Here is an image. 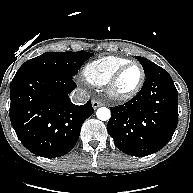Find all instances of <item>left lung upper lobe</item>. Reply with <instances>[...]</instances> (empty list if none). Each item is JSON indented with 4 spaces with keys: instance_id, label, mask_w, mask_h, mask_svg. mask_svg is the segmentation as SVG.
Segmentation results:
<instances>
[{
    "instance_id": "left-lung-upper-lobe-1",
    "label": "left lung upper lobe",
    "mask_w": 193,
    "mask_h": 193,
    "mask_svg": "<svg viewBox=\"0 0 193 193\" xmlns=\"http://www.w3.org/2000/svg\"><path fill=\"white\" fill-rule=\"evenodd\" d=\"M135 57L141 63L145 72V76L149 75L159 67L158 65H156L155 63L151 62L150 60L144 57H140V56H135Z\"/></svg>"
}]
</instances>
